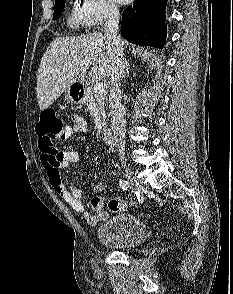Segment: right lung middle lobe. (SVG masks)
<instances>
[{
	"label": "right lung middle lobe",
	"mask_w": 233,
	"mask_h": 294,
	"mask_svg": "<svg viewBox=\"0 0 233 294\" xmlns=\"http://www.w3.org/2000/svg\"><path fill=\"white\" fill-rule=\"evenodd\" d=\"M65 2L66 0H55L53 19L59 18V16L62 13V10L64 9Z\"/></svg>",
	"instance_id": "obj_1"
}]
</instances>
